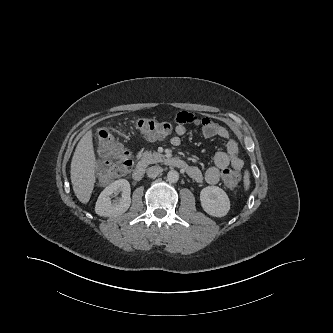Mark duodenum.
Wrapping results in <instances>:
<instances>
[{
  "mask_svg": "<svg viewBox=\"0 0 333 333\" xmlns=\"http://www.w3.org/2000/svg\"><path fill=\"white\" fill-rule=\"evenodd\" d=\"M163 162L168 166L182 169L185 171H188L190 169V166L187 164V162L179 157H172V156L164 157ZM146 167H147V161L144 159L139 160L132 172L133 179L140 180L145 174Z\"/></svg>",
  "mask_w": 333,
  "mask_h": 333,
  "instance_id": "duodenum-1",
  "label": "duodenum"
}]
</instances>
